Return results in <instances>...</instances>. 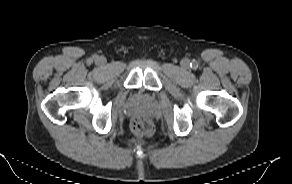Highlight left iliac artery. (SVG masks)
<instances>
[{
	"instance_id": "obj_1",
	"label": "left iliac artery",
	"mask_w": 292,
	"mask_h": 184,
	"mask_svg": "<svg viewBox=\"0 0 292 184\" xmlns=\"http://www.w3.org/2000/svg\"><path fill=\"white\" fill-rule=\"evenodd\" d=\"M191 66L196 67V66H197V62H193V63L191 64Z\"/></svg>"
}]
</instances>
